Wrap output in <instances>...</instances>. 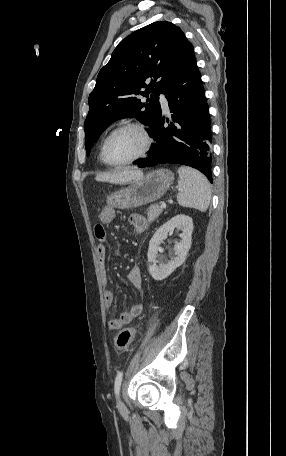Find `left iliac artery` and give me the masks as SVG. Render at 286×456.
Masks as SVG:
<instances>
[{
    "mask_svg": "<svg viewBox=\"0 0 286 456\" xmlns=\"http://www.w3.org/2000/svg\"><path fill=\"white\" fill-rule=\"evenodd\" d=\"M122 378H123V372L120 371V372H118V374L115 378V383H114V391H115L116 397L119 396Z\"/></svg>",
    "mask_w": 286,
    "mask_h": 456,
    "instance_id": "left-iliac-artery-1",
    "label": "left iliac artery"
}]
</instances>
